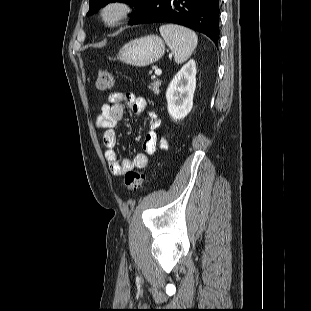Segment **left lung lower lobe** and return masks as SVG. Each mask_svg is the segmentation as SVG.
<instances>
[{
    "instance_id": "left-lung-lower-lobe-1",
    "label": "left lung lower lobe",
    "mask_w": 311,
    "mask_h": 311,
    "mask_svg": "<svg viewBox=\"0 0 311 311\" xmlns=\"http://www.w3.org/2000/svg\"><path fill=\"white\" fill-rule=\"evenodd\" d=\"M219 0H144L128 24L169 22L219 39Z\"/></svg>"
}]
</instances>
